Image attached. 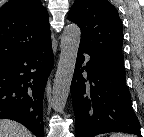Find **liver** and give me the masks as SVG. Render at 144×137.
Masks as SVG:
<instances>
[{
    "mask_svg": "<svg viewBox=\"0 0 144 137\" xmlns=\"http://www.w3.org/2000/svg\"><path fill=\"white\" fill-rule=\"evenodd\" d=\"M0 137H33V135L18 122L0 119Z\"/></svg>",
    "mask_w": 144,
    "mask_h": 137,
    "instance_id": "1",
    "label": "liver"
}]
</instances>
